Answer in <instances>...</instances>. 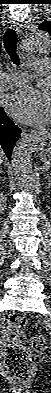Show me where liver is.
Listing matches in <instances>:
<instances>
[{"instance_id": "1", "label": "liver", "mask_w": 51, "mask_h": 393, "mask_svg": "<svg viewBox=\"0 0 51 393\" xmlns=\"http://www.w3.org/2000/svg\"><path fill=\"white\" fill-rule=\"evenodd\" d=\"M2 159H3V152L1 151V153H0V160L2 161Z\"/></svg>"}]
</instances>
